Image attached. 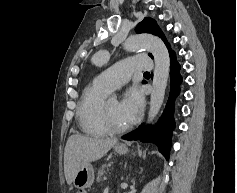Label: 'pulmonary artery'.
I'll list each match as a JSON object with an SVG mask.
<instances>
[{
    "label": "pulmonary artery",
    "instance_id": "1",
    "mask_svg": "<svg viewBox=\"0 0 237 193\" xmlns=\"http://www.w3.org/2000/svg\"><path fill=\"white\" fill-rule=\"evenodd\" d=\"M152 68V61L148 56L127 58L99 74L95 80L112 91L127 83L134 71H150Z\"/></svg>",
    "mask_w": 237,
    "mask_h": 193
}]
</instances>
